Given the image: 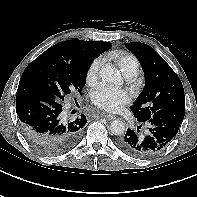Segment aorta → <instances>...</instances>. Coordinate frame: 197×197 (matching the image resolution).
Segmentation results:
<instances>
[{
  "instance_id": "aorta-1",
  "label": "aorta",
  "mask_w": 197,
  "mask_h": 197,
  "mask_svg": "<svg viewBox=\"0 0 197 197\" xmlns=\"http://www.w3.org/2000/svg\"><path fill=\"white\" fill-rule=\"evenodd\" d=\"M100 77L104 82L113 84H118L122 80L119 71L111 65H106L100 70ZM109 129L112 134L119 136L125 132V124L121 120H114Z\"/></svg>"
}]
</instances>
